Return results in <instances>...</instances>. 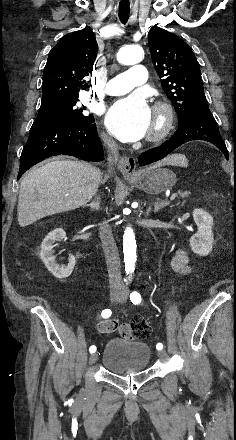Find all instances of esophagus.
I'll use <instances>...</instances> for the list:
<instances>
[{"instance_id":"1","label":"esophagus","mask_w":236,"mask_h":440,"mask_svg":"<svg viewBox=\"0 0 236 440\" xmlns=\"http://www.w3.org/2000/svg\"><path fill=\"white\" fill-rule=\"evenodd\" d=\"M118 167L125 178L134 177L136 174V161L133 157L122 156L119 159Z\"/></svg>"}]
</instances>
